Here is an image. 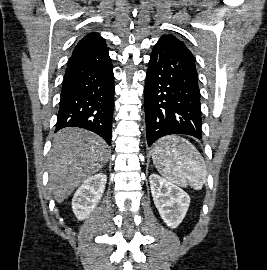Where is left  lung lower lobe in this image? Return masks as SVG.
Returning a JSON list of instances; mask_svg holds the SVG:
<instances>
[{
    "label": "left lung lower lobe",
    "instance_id": "1",
    "mask_svg": "<svg viewBox=\"0 0 267 270\" xmlns=\"http://www.w3.org/2000/svg\"><path fill=\"white\" fill-rule=\"evenodd\" d=\"M148 146L166 135L202 138L200 90L195 60L181 47L158 41L144 90Z\"/></svg>",
    "mask_w": 267,
    "mask_h": 270
}]
</instances>
